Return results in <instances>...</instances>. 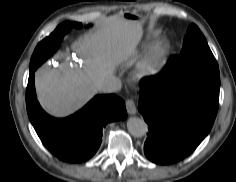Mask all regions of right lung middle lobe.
Listing matches in <instances>:
<instances>
[{"mask_svg":"<svg viewBox=\"0 0 236 182\" xmlns=\"http://www.w3.org/2000/svg\"><path fill=\"white\" fill-rule=\"evenodd\" d=\"M82 24L65 21L61 23L53 33L43 39L35 48L30 61V69L36 70L43 62L51 57L60 46L64 35L71 28H81Z\"/></svg>","mask_w":236,"mask_h":182,"instance_id":"obj_1","label":"right lung middle lobe"}]
</instances>
